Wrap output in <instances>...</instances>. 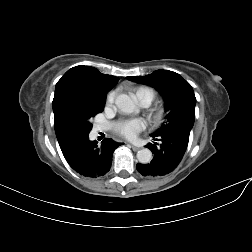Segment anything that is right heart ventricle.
<instances>
[{
  "label": "right heart ventricle",
  "instance_id": "right-heart-ventricle-1",
  "mask_svg": "<svg viewBox=\"0 0 252 252\" xmlns=\"http://www.w3.org/2000/svg\"><path fill=\"white\" fill-rule=\"evenodd\" d=\"M156 95V90L149 86H138L132 89V96L143 106L150 105Z\"/></svg>",
  "mask_w": 252,
  "mask_h": 252
}]
</instances>
